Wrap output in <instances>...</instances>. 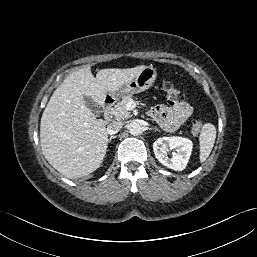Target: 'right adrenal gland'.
I'll list each match as a JSON object with an SVG mask.
<instances>
[{"label":"right adrenal gland","mask_w":257,"mask_h":257,"mask_svg":"<svg viewBox=\"0 0 257 257\" xmlns=\"http://www.w3.org/2000/svg\"><path fill=\"white\" fill-rule=\"evenodd\" d=\"M116 138V136H110L108 142H111L112 139Z\"/></svg>","instance_id":"1"}]
</instances>
